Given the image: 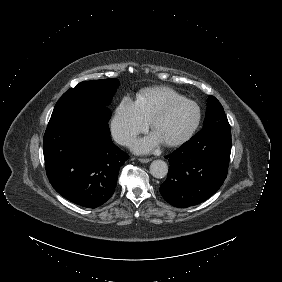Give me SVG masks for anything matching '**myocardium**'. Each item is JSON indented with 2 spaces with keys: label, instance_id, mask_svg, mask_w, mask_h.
I'll return each instance as SVG.
<instances>
[{
  "label": "myocardium",
  "instance_id": "1",
  "mask_svg": "<svg viewBox=\"0 0 282 282\" xmlns=\"http://www.w3.org/2000/svg\"><path fill=\"white\" fill-rule=\"evenodd\" d=\"M193 105L195 108V117L192 121V123L189 125V127L185 130V132L183 134H181L179 137L173 139V140H169V141H164L162 140V143L166 146L169 147H174V146H179L183 143H185L186 141H188L191 136L193 135V133L195 132V130L197 129L200 120H201V109L199 107V105L197 103H195L194 101L187 99V98H181L178 100H173L170 101L169 103H167V105L161 109L160 111H158L153 119L151 120V126L153 131H155L156 129V125L158 124V122L164 118L171 110L184 106V105Z\"/></svg>",
  "mask_w": 282,
  "mask_h": 282
}]
</instances>
